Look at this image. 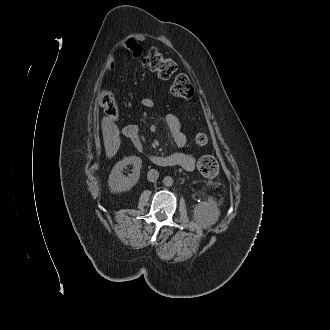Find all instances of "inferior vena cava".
I'll use <instances>...</instances> for the list:
<instances>
[{"label": "inferior vena cava", "mask_w": 330, "mask_h": 330, "mask_svg": "<svg viewBox=\"0 0 330 330\" xmlns=\"http://www.w3.org/2000/svg\"><path fill=\"white\" fill-rule=\"evenodd\" d=\"M158 177H159V173L157 170L151 169L148 171V174H147L148 181L155 182L158 179Z\"/></svg>", "instance_id": "inferior-vena-cava-1"}]
</instances>
